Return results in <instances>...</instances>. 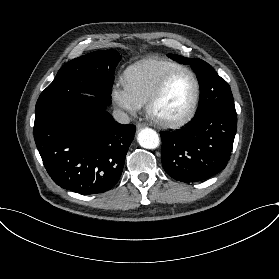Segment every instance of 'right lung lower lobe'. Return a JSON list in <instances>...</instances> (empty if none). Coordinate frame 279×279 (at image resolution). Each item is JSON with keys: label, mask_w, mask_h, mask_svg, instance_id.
Masks as SVG:
<instances>
[{"label": "right lung lower lobe", "mask_w": 279, "mask_h": 279, "mask_svg": "<svg viewBox=\"0 0 279 279\" xmlns=\"http://www.w3.org/2000/svg\"><path fill=\"white\" fill-rule=\"evenodd\" d=\"M95 97L73 95L36 111L34 139L52 180L83 195L103 193L119 180L134 125H121Z\"/></svg>", "instance_id": "right-lung-lower-lobe-1"}]
</instances>
